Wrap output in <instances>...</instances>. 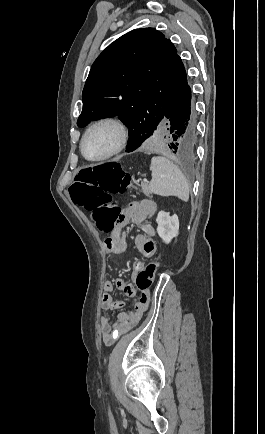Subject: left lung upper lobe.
<instances>
[{"label":"left lung upper lobe","instance_id":"left-lung-upper-lobe-1","mask_svg":"<svg viewBox=\"0 0 265 434\" xmlns=\"http://www.w3.org/2000/svg\"><path fill=\"white\" fill-rule=\"evenodd\" d=\"M187 81L181 58L156 29H135L110 44L93 63L77 125L118 116L129 128H156Z\"/></svg>","mask_w":265,"mask_h":434}]
</instances>
